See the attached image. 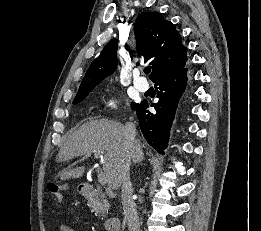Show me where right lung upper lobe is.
I'll list each match as a JSON object with an SVG mask.
<instances>
[{"label":"right lung upper lobe","mask_w":261,"mask_h":231,"mask_svg":"<svg viewBox=\"0 0 261 231\" xmlns=\"http://www.w3.org/2000/svg\"><path fill=\"white\" fill-rule=\"evenodd\" d=\"M134 31L138 53L144 56L145 63L152 65L150 79L153 82L185 67L187 48L183 46L174 25L166 21L161 13H142L135 21ZM117 47L116 39H112L104 47L88 68L77 94L90 92L115 71Z\"/></svg>","instance_id":"obj_1"}]
</instances>
